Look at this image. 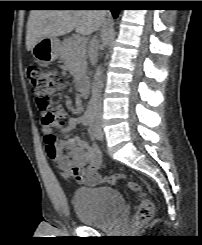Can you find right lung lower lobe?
<instances>
[{"instance_id": "right-lung-lower-lobe-1", "label": "right lung lower lobe", "mask_w": 202, "mask_h": 245, "mask_svg": "<svg viewBox=\"0 0 202 245\" xmlns=\"http://www.w3.org/2000/svg\"><path fill=\"white\" fill-rule=\"evenodd\" d=\"M104 6L110 7V10H111V12L113 14V17L114 18H117L118 13H119V9L117 8V5L115 3H113V2H106V3H104Z\"/></svg>"}]
</instances>
